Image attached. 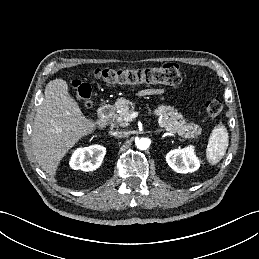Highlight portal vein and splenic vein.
<instances>
[{"label":"portal vein and splenic vein","instance_id":"1","mask_svg":"<svg viewBox=\"0 0 259 259\" xmlns=\"http://www.w3.org/2000/svg\"><path fill=\"white\" fill-rule=\"evenodd\" d=\"M137 116H138V112H132L131 114H129L128 116H126V117L124 118V120H125L126 122L132 121V120L135 119Z\"/></svg>","mask_w":259,"mask_h":259}]
</instances>
